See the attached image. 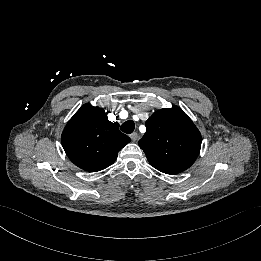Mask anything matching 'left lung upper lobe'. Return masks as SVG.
<instances>
[{"label": "left lung upper lobe", "mask_w": 261, "mask_h": 261, "mask_svg": "<svg viewBox=\"0 0 261 261\" xmlns=\"http://www.w3.org/2000/svg\"><path fill=\"white\" fill-rule=\"evenodd\" d=\"M138 144L154 168L166 174H177L196 160L201 134L191 119L174 106L152 114Z\"/></svg>", "instance_id": "obj_1"}]
</instances>
